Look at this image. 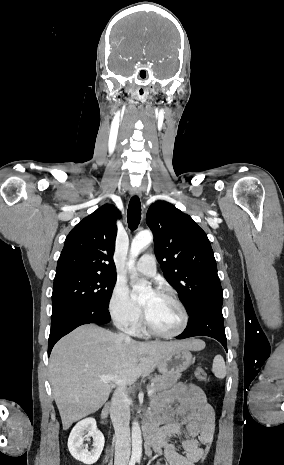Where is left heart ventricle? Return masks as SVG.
<instances>
[{"label": "left heart ventricle", "mask_w": 284, "mask_h": 465, "mask_svg": "<svg viewBox=\"0 0 284 465\" xmlns=\"http://www.w3.org/2000/svg\"><path fill=\"white\" fill-rule=\"evenodd\" d=\"M143 312L148 324L157 333L171 334L181 325L180 311L164 296L152 293L143 303Z\"/></svg>", "instance_id": "b2bd125f"}]
</instances>
